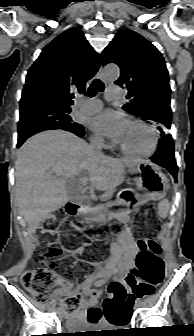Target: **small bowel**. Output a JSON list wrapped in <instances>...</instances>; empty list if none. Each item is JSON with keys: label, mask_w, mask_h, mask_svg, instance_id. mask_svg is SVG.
<instances>
[{"label": "small bowel", "mask_w": 194, "mask_h": 336, "mask_svg": "<svg viewBox=\"0 0 194 336\" xmlns=\"http://www.w3.org/2000/svg\"><path fill=\"white\" fill-rule=\"evenodd\" d=\"M137 254L138 245L130 229L125 228L112 243L110 257L107 261L94 264L93 272L76 287H61L56 291L55 295L61 299V303L65 297L76 293H81L87 297L81 304V310L71 317L72 321L85 322L90 326H96L104 322L100 308L97 307V294L94 289L103 286L113 277L133 271ZM140 285L144 291H149L146 285Z\"/></svg>", "instance_id": "1"}]
</instances>
